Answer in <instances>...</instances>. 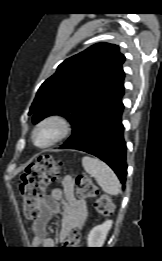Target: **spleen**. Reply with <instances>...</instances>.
<instances>
[{"label":"spleen","mask_w":162,"mask_h":261,"mask_svg":"<svg viewBox=\"0 0 162 261\" xmlns=\"http://www.w3.org/2000/svg\"><path fill=\"white\" fill-rule=\"evenodd\" d=\"M82 165L85 171L95 178L102 190L110 195H117L120 192V182L113 170L97 158L84 156Z\"/></svg>","instance_id":"spleen-1"}]
</instances>
